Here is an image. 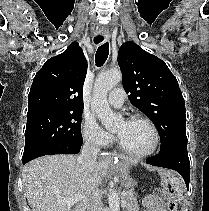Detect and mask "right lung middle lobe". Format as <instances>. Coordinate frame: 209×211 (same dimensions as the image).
Masks as SVG:
<instances>
[{
	"label": "right lung middle lobe",
	"instance_id": "1",
	"mask_svg": "<svg viewBox=\"0 0 209 211\" xmlns=\"http://www.w3.org/2000/svg\"><path fill=\"white\" fill-rule=\"evenodd\" d=\"M82 112L83 110H41L27 113L22 160L50 146L82 144Z\"/></svg>",
	"mask_w": 209,
	"mask_h": 211
}]
</instances>
